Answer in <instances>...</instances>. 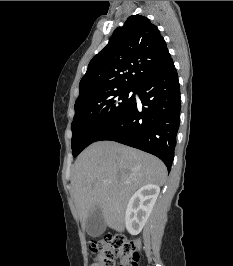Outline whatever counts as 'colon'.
<instances>
[{
	"label": "colon",
	"instance_id": "obj_1",
	"mask_svg": "<svg viewBox=\"0 0 233 266\" xmlns=\"http://www.w3.org/2000/svg\"><path fill=\"white\" fill-rule=\"evenodd\" d=\"M91 249L98 256L96 266H114L115 258L121 259L120 266H138L139 253L133 241L122 235H108L91 243Z\"/></svg>",
	"mask_w": 233,
	"mask_h": 266
}]
</instances>
